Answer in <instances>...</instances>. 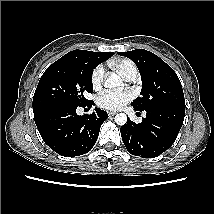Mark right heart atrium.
I'll return each instance as SVG.
<instances>
[{
  "label": "right heart atrium",
  "mask_w": 214,
  "mask_h": 214,
  "mask_svg": "<svg viewBox=\"0 0 214 214\" xmlns=\"http://www.w3.org/2000/svg\"><path fill=\"white\" fill-rule=\"evenodd\" d=\"M104 80V68L102 65L96 66L91 74V84L94 89H99Z\"/></svg>",
  "instance_id": "d8ad5b80"
}]
</instances>
